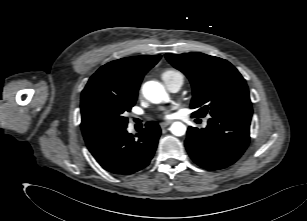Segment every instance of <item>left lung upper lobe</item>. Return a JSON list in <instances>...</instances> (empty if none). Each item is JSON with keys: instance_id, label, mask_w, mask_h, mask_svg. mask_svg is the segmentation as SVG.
Segmentation results:
<instances>
[{"instance_id": "left-lung-upper-lobe-1", "label": "left lung upper lobe", "mask_w": 307, "mask_h": 221, "mask_svg": "<svg viewBox=\"0 0 307 221\" xmlns=\"http://www.w3.org/2000/svg\"><path fill=\"white\" fill-rule=\"evenodd\" d=\"M167 60L190 80L195 117L234 114L252 117L245 79L228 61L199 52L166 54Z\"/></svg>"}]
</instances>
